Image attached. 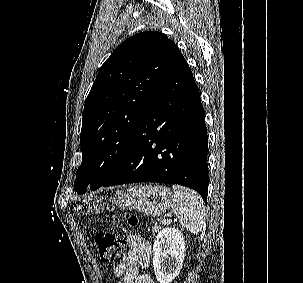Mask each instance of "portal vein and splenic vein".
Wrapping results in <instances>:
<instances>
[{"label":"portal vein and splenic vein","mask_w":303,"mask_h":283,"mask_svg":"<svg viewBox=\"0 0 303 283\" xmlns=\"http://www.w3.org/2000/svg\"><path fill=\"white\" fill-rule=\"evenodd\" d=\"M169 222H170L169 219H163V220H162V224H167V223H169Z\"/></svg>","instance_id":"obj_1"}]
</instances>
